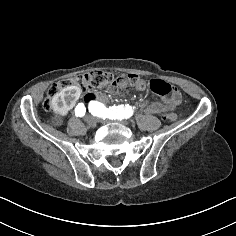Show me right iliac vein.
<instances>
[{
	"mask_svg": "<svg viewBox=\"0 0 236 236\" xmlns=\"http://www.w3.org/2000/svg\"><path fill=\"white\" fill-rule=\"evenodd\" d=\"M85 124H86V126H88V127H90V128H93V127L96 126L97 121H96L95 117H93V116H88V117H86V119H85Z\"/></svg>",
	"mask_w": 236,
	"mask_h": 236,
	"instance_id": "right-iliac-vein-1",
	"label": "right iliac vein"
}]
</instances>
